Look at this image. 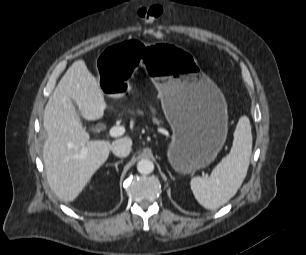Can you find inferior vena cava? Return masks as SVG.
Instances as JSON below:
<instances>
[{"label":"inferior vena cava","mask_w":306,"mask_h":255,"mask_svg":"<svg viewBox=\"0 0 306 255\" xmlns=\"http://www.w3.org/2000/svg\"><path fill=\"white\" fill-rule=\"evenodd\" d=\"M132 140L122 138L114 142L112 152L117 157H127L131 152Z\"/></svg>","instance_id":"obj_1"}]
</instances>
